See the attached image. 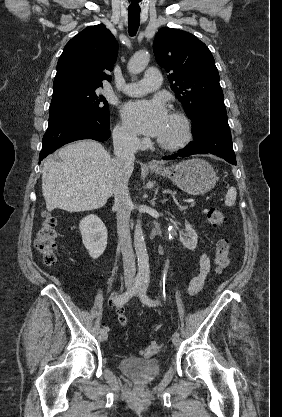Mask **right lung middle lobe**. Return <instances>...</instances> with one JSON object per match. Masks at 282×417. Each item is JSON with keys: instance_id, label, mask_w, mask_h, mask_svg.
I'll use <instances>...</instances> for the list:
<instances>
[{"instance_id": "dd1d6c3e", "label": "right lung middle lobe", "mask_w": 282, "mask_h": 417, "mask_svg": "<svg viewBox=\"0 0 282 417\" xmlns=\"http://www.w3.org/2000/svg\"><path fill=\"white\" fill-rule=\"evenodd\" d=\"M96 87L75 88L53 93L49 120L70 113H86L99 119L110 117L108 103Z\"/></svg>"}]
</instances>
